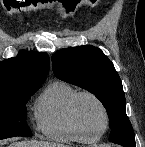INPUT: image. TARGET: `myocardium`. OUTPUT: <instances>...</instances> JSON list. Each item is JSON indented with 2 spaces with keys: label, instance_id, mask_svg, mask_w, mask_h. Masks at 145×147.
<instances>
[{
  "label": "myocardium",
  "instance_id": "f54148a6",
  "mask_svg": "<svg viewBox=\"0 0 145 147\" xmlns=\"http://www.w3.org/2000/svg\"><path fill=\"white\" fill-rule=\"evenodd\" d=\"M82 97H89L92 100H94L98 106L100 107V109L103 112V116H104V127L103 129L95 134V135H89L81 126L80 120L78 118V114H77V104L79 99H81ZM69 114H70V119L75 127V129L85 135L90 141H94L97 140L99 138H101L108 130L109 125H110V114L109 111L106 107V105L104 104V102L94 93L90 92V91H79L77 92L74 97L72 98L71 102H70V107H69Z\"/></svg>",
  "mask_w": 145,
  "mask_h": 147
}]
</instances>
